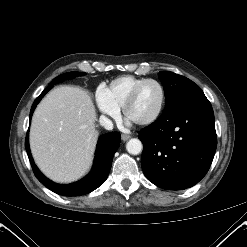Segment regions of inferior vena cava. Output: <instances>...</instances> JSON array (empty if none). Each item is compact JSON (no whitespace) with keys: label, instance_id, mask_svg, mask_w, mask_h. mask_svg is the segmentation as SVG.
I'll return each mask as SVG.
<instances>
[{"label":"inferior vena cava","instance_id":"obj_1","mask_svg":"<svg viewBox=\"0 0 247 247\" xmlns=\"http://www.w3.org/2000/svg\"><path fill=\"white\" fill-rule=\"evenodd\" d=\"M99 123L102 127H104L107 130H112L113 129V123L112 121L107 118L106 116L102 115L99 118Z\"/></svg>","mask_w":247,"mask_h":247}]
</instances>
